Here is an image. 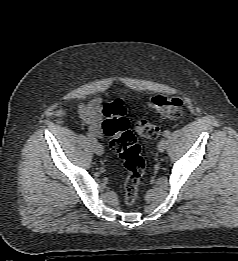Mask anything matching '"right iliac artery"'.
Returning a JSON list of instances; mask_svg holds the SVG:
<instances>
[{
  "label": "right iliac artery",
  "mask_w": 238,
  "mask_h": 261,
  "mask_svg": "<svg viewBox=\"0 0 238 261\" xmlns=\"http://www.w3.org/2000/svg\"><path fill=\"white\" fill-rule=\"evenodd\" d=\"M87 136L92 142L97 141L95 136L91 132H87Z\"/></svg>",
  "instance_id": "1"
}]
</instances>
